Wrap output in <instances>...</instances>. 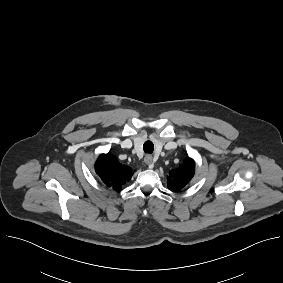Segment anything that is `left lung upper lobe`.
Segmentation results:
<instances>
[{
    "instance_id": "1",
    "label": "left lung upper lobe",
    "mask_w": 283,
    "mask_h": 283,
    "mask_svg": "<svg viewBox=\"0 0 283 283\" xmlns=\"http://www.w3.org/2000/svg\"><path fill=\"white\" fill-rule=\"evenodd\" d=\"M195 163L187 158L180 168L170 171L168 176V188L177 191L189 183L194 175Z\"/></svg>"
}]
</instances>
